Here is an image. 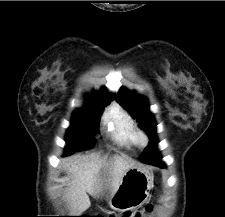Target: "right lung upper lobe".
<instances>
[{
    "mask_svg": "<svg viewBox=\"0 0 225 217\" xmlns=\"http://www.w3.org/2000/svg\"><path fill=\"white\" fill-rule=\"evenodd\" d=\"M106 93H107V88H101L97 95H98L99 99H113L114 98V95L110 94V95L107 96ZM103 95H105V96L101 97Z\"/></svg>",
    "mask_w": 225,
    "mask_h": 217,
    "instance_id": "cb5924a9",
    "label": "right lung upper lobe"
}]
</instances>
